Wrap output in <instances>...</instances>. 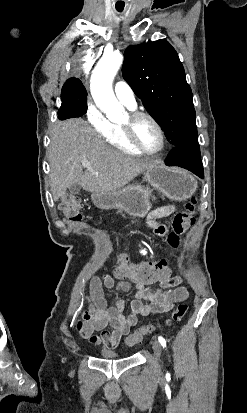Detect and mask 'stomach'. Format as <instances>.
<instances>
[{
  "mask_svg": "<svg viewBox=\"0 0 247 413\" xmlns=\"http://www.w3.org/2000/svg\"><path fill=\"white\" fill-rule=\"evenodd\" d=\"M149 184L172 200H187L194 194L198 182L190 172L178 166L154 162L144 172ZM152 190L140 184H131L123 190L92 192L91 198L98 209H121L133 217H146L151 209Z\"/></svg>",
  "mask_w": 247,
  "mask_h": 413,
  "instance_id": "0dacf381",
  "label": "stomach"
}]
</instances>
